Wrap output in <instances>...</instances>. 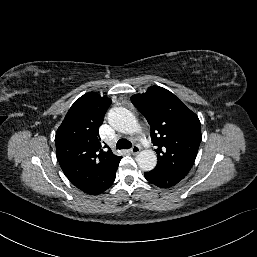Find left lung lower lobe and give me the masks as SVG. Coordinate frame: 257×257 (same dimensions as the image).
<instances>
[{
  "label": "left lung lower lobe",
  "instance_id": "obj_1",
  "mask_svg": "<svg viewBox=\"0 0 257 257\" xmlns=\"http://www.w3.org/2000/svg\"><path fill=\"white\" fill-rule=\"evenodd\" d=\"M144 176L149 182L161 188L172 187L182 180L157 169L145 172Z\"/></svg>",
  "mask_w": 257,
  "mask_h": 257
}]
</instances>
